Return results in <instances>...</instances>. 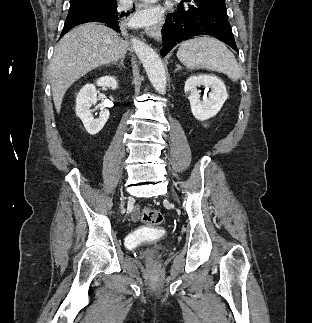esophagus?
Wrapping results in <instances>:
<instances>
[{
    "label": "esophagus",
    "mask_w": 312,
    "mask_h": 323,
    "mask_svg": "<svg viewBox=\"0 0 312 323\" xmlns=\"http://www.w3.org/2000/svg\"><path fill=\"white\" fill-rule=\"evenodd\" d=\"M150 6V3H145V2H139L136 5L137 10L145 9ZM145 32L147 35L150 37L154 38L155 40L159 41L160 40V29L158 25H153L150 27H147L145 29Z\"/></svg>",
    "instance_id": "esophagus-1"
}]
</instances>
